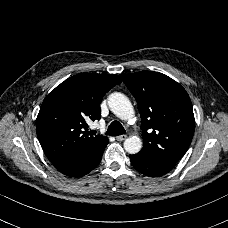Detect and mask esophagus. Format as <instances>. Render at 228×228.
<instances>
[{
    "label": "esophagus",
    "instance_id": "esophagus-1",
    "mask_svg": "<svg viewBox=\"0 0 228 228\" xmlns=\"http://www.w3.org/2000/svg\"><path fill=\"white\" fill-rule=\"evenodd\" d=\"M126 138H127V136L123 134V135L117 136V137H116V140H117V141H124Z\"/></svg>",
    "mask_w": 228,
    "mask_h": 228
}]
</instances>
